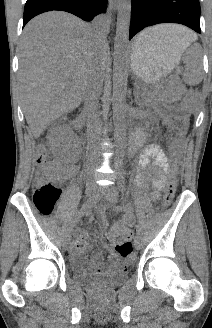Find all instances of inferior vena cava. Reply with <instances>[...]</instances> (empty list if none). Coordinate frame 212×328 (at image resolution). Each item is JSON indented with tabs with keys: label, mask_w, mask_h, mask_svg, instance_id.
Here are the masks:
<instances>
[{
	"label": "inferior vena cava",
	"mask_w": 212,
	"mask_h": 328,
	"mask_svg": "<svg viewBox=\"0 0 212 328\" xmlns=\"http://www.w3.org/2000/svg\"><path fill=\"white\" fill-rule=\"evenodd\" d=\"M105 26L106 18L104 15H98L94 18L91 29L95 37H97L100 41L105 35ZM101 89L102 81L100 79V75L96 71H93L90 74L85 90L83 111L87 121V140L89 147H93L97 143L101 133V126L97 112L98 98L101 94ZM88 161V165L90 167H94L95 169L100 167L98 162L93 161V155L88 157ZM95 174H98V171H95Z\"/></svg>",
	"instance_id": "inferior-vena-cava-1"
}]
</instances>
